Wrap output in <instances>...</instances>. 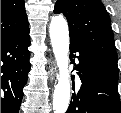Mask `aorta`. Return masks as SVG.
Wrapping results in <instances>:
<instances>
[{"instance_id": "aorta-1", "label": "aorta", "mask_w": 121, "mask_h": 113, "mask_svg": "<svg viewBox=\"0 0 121 113\" xmlns=\"http://www.w3.org/2000/svg\"><path fill=\"white\" fill-rule=\"evenodd\" d=\"M49 32L53 53L59 68L58 83L53 94V108L55 113H65L70 99L69 30L67 21L62 15L52 17Z\"/></svg>"}]
</instances>
